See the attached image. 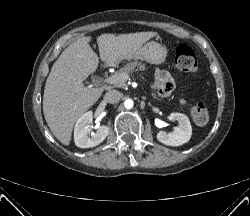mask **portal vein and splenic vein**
Segmentation results:
<instances>
[{"label": "portal vein and splenic vein", "instance_id": "1", "mask_svg": "<svg viewBox=\"0 0 250 216\" xmlns=\"http://www.w3.org/2000/svg\"><path fill=\"white\" fill-rule=\"evenodd\" d=\"M127 79H129V75L124 73V74H121L119 76L113 75L112 77L107 78L106 82L110 83V84H114V83L120 82V81H127Z\"/></svg>", "mask_w": 250, "mask_h": 216}]
</instances>
